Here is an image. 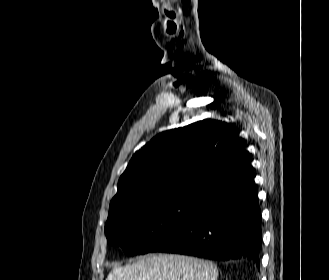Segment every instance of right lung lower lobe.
<instances>
[{"mask_svg":"<svg viewBox=\"0 0 329 280\" xmlns=\"http://www.w3.org/2000/svg\"><path fill=\"white\" fill-rule=\"evenodd\" d=\"M249 164L216 180L176 232L150 252L260 264L261 214Z\"/></svg>","mask_w":329,"mask_h":280,"instance_id":"right-lung-lower-lobe-1","label":"right lung lower lobe"}]
</instances>
